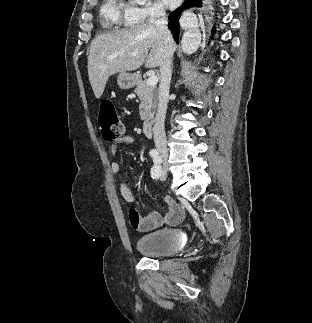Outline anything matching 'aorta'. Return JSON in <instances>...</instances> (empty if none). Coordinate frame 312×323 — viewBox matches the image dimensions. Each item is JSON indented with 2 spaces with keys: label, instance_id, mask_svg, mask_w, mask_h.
I'll use <instances>...</instances> for the list:
<instances>
[{
  "label": "aorta",
  "instance_id": "aorta-1",
  "mask_svg": "<svg viewBox=\"0 0 312 323\" xmlns=\"http://www.w3.org/2000/svg\"><path fill=\"white\" fill-rule=\"evenodd\" d=\"M182 50L184 54H194V52H197L200 44H201V34L199 30H186L183 34L182 38Z\"/></svg>",
  "mask_w": 312,
  "mask_h": 323
}]
</instances>
